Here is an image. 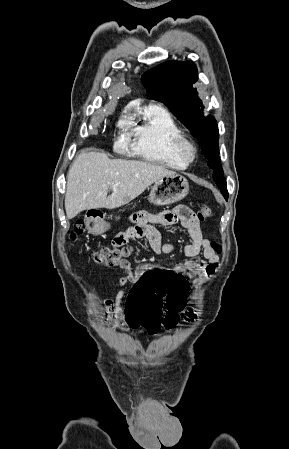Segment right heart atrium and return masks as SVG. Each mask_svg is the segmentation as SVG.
Returning <instances> with one entry per match:
<instances>
[{
	"instance_id": "d8ad5b80",
	"label": "right heart atrium",
	"mask_w": 289,
	"mask_h": 449,
	"mask_svg": "<svg viewBox=\"0 0 289 449\" xmlns=\"http://www.w3.org/2000/svg\"><path fill=\"white\" fill-rule=\"evenodd\" d=\"M117 129L119 131V136L117 143L121 146L127 145L132 136L131 122L126 114H123L117 122Z\"/></svg>"
}]
</instances>
